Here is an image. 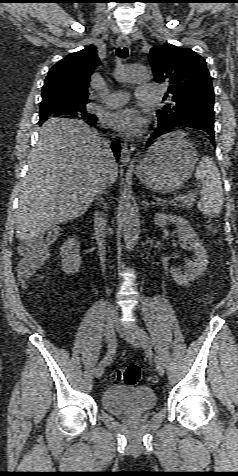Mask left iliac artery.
<instances>
[{
  "mask_svg": "<svg viewBox=\"0 0 238 476\" xmlns=\"http://www.w3.org/2000/svg\"><path fill=\"white\" fill-rule=\"evenodd\" d=\"M136 332L144 346L147 347L151 345V341L148 334L142 328L137 327Z\"/></svg>",
  "mask_w": 238,
  "mask_h": 476,
  "instance_id": "left-iliac-artery-1",
  "label": "left iliac artery"
}]
</instances>
